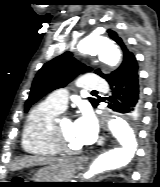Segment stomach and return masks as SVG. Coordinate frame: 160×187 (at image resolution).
Returning a JSON list of instances; mask_svg holds the SVG:
<instances>
[{
	"instance_id": "1",
	"label": "stomach",
	"mask_w": 160,
	"mask_h": 187,
	"mask_svg": "<svg viewBox=\"0 0 160 187\" xmlns=\"http://www.w3.org/2000/svg\"><path fill=\"white\" fill-rule=\"evenodd\" d=\"M79 168L74 158H62L39 169L31 182H70ZM65 183H33V187H56Z\"/></svg>"
}]
</instances>
